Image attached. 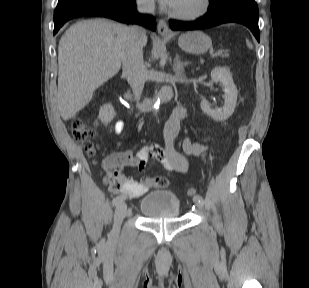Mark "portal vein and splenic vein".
I'll return each mask as SVG.
<instances>
[{
  "mask_svg": "<svg viewBox=\"0 0 309 288\" xmlns=\"http://www.w3.org/2000/svg\"><path fill=\"white\" fill-rule=\"evenodd\" d=\"M222 53H223V50H222V49H219V50H217L215 53H213V54L211 55V57H217V56L221 55Z\"/></svg>",
  "mask_w": 309,
  "mask_h": 288,
  "instance_id": "18ae733b",
  "label": "portal vein and splenic vein"
}]
</instances>
